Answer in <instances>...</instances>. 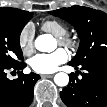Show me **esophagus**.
Segmentation results:
<instances>
[{
  "instance_id": "obj_1",
  "label": "esophagus",
  "mask_w": 107,
  "mask_h": 107,
  "mask_svg": "<svg viewBox=\"0 0 107 107\" xmlns=\"http://www.w3.org/2000/svg\"><path fill=\"white\" fill-rule=\"evenodd\" d=\"M54 75L53 74H42V78H52Z\"/></svg>"
}]
</instances>
